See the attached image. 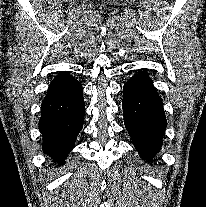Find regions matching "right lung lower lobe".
<instances>
[{
  "mask_svg": "<svg viewBox=\"0 0 206 207\" xmlns=\"http://www.w3.org/2000/svg\"><path fill=\"white\" fill-rule=\"evenodd\" d=\"M85 104L81 84L68 72L50 83L41 105L42 147L53 161L63 163L83 127Z\"/></svg>",
  "mask_w": 206,
  "mask_h": 207,
  "instance_id": "98d812e1",
  "label": "right lung lower lobe"
}]
</instances>
